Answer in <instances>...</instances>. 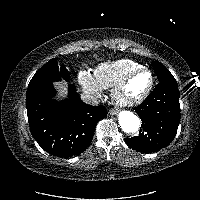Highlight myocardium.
Masks as SVG:
<instances>
[{
    "mask_svg": "<svg viewBox=\"0 0 200 200\" xmlns=\"http://www.w3.org/2000/svg\"><path fill=\"white\" fill-rule=\"evenodd\" d=\"M141 72H147L149 74L150 80H149V84L146 88V90L143 92V94H141L139 97L134 98V99H128L125 98L123 96V90L126 87L127 83L138 73ZM154 86V76L153 73L151 72L150 69L146 68V67H140L137 68L133 71H131L129 74H127L120 82H118L112 91V99L114 101V103L118 106L121 107H134L137 106L141 103H143L148 96L150 95L152 89Z\"/></svg>",
    "mask_w": 200,
    "mask_h": 200,
    "instance_id": "1",
    "label": "myocardium"
}]
</instances>
